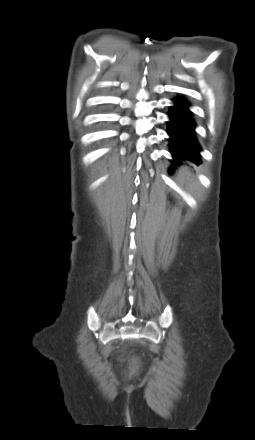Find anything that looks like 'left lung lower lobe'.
<instances>
[{
    "label": "left lung lower lobe",
    "instance_id": "obj_1",
    "mask_svg": "<svg viewBox=\"0 0 255 440\" xmlns=\"http://www.w3.org/2000/svg\"><path fill=\"white\" fill-rule=\"evenodd\" d=\"M174 105L168 113L167 133L169 135V148L173 159L170 160L169 172L183 165V161H190L196 165L201 164L200 151L202 150L196 138V122L189 109V102L180 96L173 99Z\"/></svg>",
    "mask_w": 255,
    "mask_h": 440
}]
</instances>
